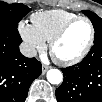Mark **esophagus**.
<instances>
[{"label":"esophagus","mask_w":102,"mask_h":102,"mask_svg":"<svg viewBox=\"0 0 102 102\" xmlns=\"http://www.w3.org/2000/svg\"><path fill=\"white\" fill-rule=\"evenodd\" d=\"M49 69V66L48 65H42V74H45L46 71Z\"/></svg>","instance_id":"obj_1"}]
</instances>
